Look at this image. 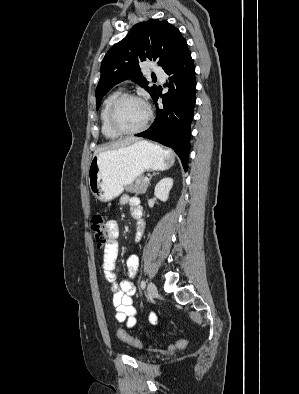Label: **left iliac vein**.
<instances>
[{
    "label": "left iliac vein",
    "instance_id": "1",
    "mask_svg": "<svg viewBox=\"0 0 299 394\" xmlns=\"http://www.w3.org/2000/svg\"><path fill=\"white\" fill-rule=\"evenodd\" d=\"M157 287L154 283L150 282L147 286V293L150 298H154L157 296Z\"/></svg>",
    "mask_w": 299,
    "mask_h": 394
}]
</instances>
